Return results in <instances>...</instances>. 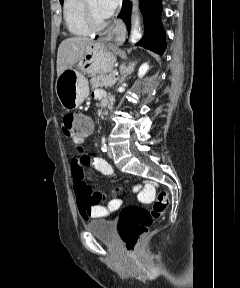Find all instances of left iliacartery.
<instances>
[{
	"label": "left iliac artery",
	"instance_id": "44dca946",
	"mask_svg": "<svg viewBox=\"0 0 240 288\" xmlns=\"http://www.w3.org/2000/svg\"><path fill=\"white\" fill-rule=\"evenodd\" d=\"M101 149L103 152H107V145L105 144L104 140H103V144L101 146Z\"/></svg>",
	"mask_w": 240,
	"mask_h": 288
}]
</instances>
